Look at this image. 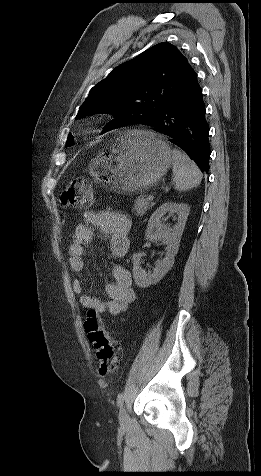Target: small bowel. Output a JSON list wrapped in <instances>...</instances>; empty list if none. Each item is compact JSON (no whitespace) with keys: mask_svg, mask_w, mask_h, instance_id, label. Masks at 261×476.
<instances>
[{"mask_svg":"<svg viewBox=\"0 0 261 476\" xmlns=\"http://www.w3.org/2000/svg\"><path fill=\"white\" fill-rule=\"evenodd\" d=\"M85 222L75 227L72 242L69 245V265L77 273L84 270L86 245L93 242L97 233L108 238V258L117 261L123 258L129 248L128 233L131 228L130 218L122 213L113 211H89L84 214ZM113 282L106 285L108 301H102L84 293L82 280L73 282V290L80 295L83 307L98 314L109 312L118 315L124 312L135 299L132 288V276L128 269L120 264L112 265Z\"/></svg>","mask_w":261,"mask_h":476,"instance_id":"small-bowel-1","label":"small bowel"}]
</instances>
